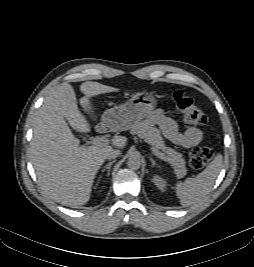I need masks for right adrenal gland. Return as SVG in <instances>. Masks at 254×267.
Listing matches in <instances>:
<instances>
[{
	"instance_id": "2a0ac1e0",
	"label": "right adrenal gland",
	"mask_w": 254,
	"mask_h": 267,
	"mask_svg": "<svg viewBox=\"0 0 254 267\" xmlns=\"http://www.w3.org/2000/svg\"><path fill=\"white\" fill-rule=\"evenodd\" d=\"M115 161H116V160H113V161L109 162L106 166H104V168L102 169V172H104V171L107 170V171H108V176H109L111 166H112L113 163H115Z\"/></svg>"
}]
</instances>
